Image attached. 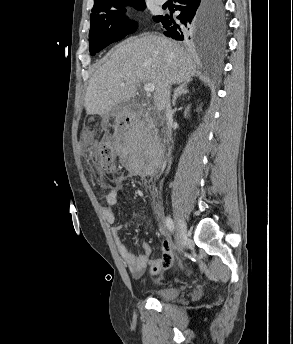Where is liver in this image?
Listing matches in <instances>:
<instances>
[{"instance_id": "liver-1", "label": "liver", "mask_w": 293, "mask_h": 344, "mask_svg": "<svg viewBox=\"0 0 293 344\" xmlns=\"http://www.w3.org/2000/svg\"><path fill=\"white\" fill-rule=\"evenodd\" d=\"M195 74L192 56L173 40L156 34L129 39L90 79L85 109L89 115L102 116L133 98L140 83H151L154 105L161 111L167 86L190 81Z\"/></svg>"}]
</instances>
